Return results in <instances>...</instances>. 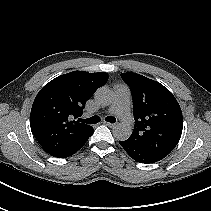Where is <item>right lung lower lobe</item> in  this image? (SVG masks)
Segmentation results:
<instances>
[{
	"mask_svg": "<svg viewBox=\"0 0 211 211\" xmlns=\"http://www.w3.org/2000/svg\"><path fill=\"white\" fill-rule=\"evenodd\" d=\"M94 131H92L85 139H83L82 141H80L77 145H75L74 147H72L70 150L59 154L55 157L57 158H66L69 157L73 154H75L79 149H81L83 147V145L85 144V142L88 140V138L93 134Z\"/></svg>",
	"mask_w": 211,
	"mask_h": 211,
	"instance_id": "obj_1",
	"label": "right lung lower lobe"
}]
</instances>
